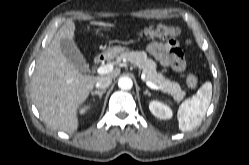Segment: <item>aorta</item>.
<instances>
[{
    "label": "aorta",
    "mask_w": 249,
    "mask_h": 165,
    "mask_svg": "<svg viewBox=\"0 0 249 165\" xmlns=\"http://www.w3.org/2000/svg\"><path fill=\"white\" fill-rule=\"evenodd\" d=\"M133 86L132 79L127 76L120 77L118 80V87L122 90H130Z\"/></svg>",
    "instance_id": "obj_1"
}]
</instances>
